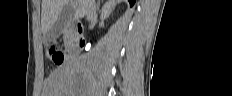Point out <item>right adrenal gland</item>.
<instances>
[{"label": "right adrenal gland", "mask_w": 232, "mask_h": 96, "mask_svg": "<svg viewBox=\"0 0 232 96\" xmlns=\"http://www.w3.org/2000/svg\"><path fill=\"white\" fill-rule=\"evenodd\" d=\"M103 1V0H98L97 1V6H96V10L99 11L100 9V2Z\"/></svg>", "instance_id": "obj_1"}]
</instances>
